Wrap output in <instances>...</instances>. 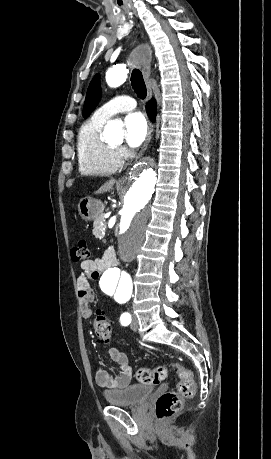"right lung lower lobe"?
<instances>
[{
  "label": "right lung lower lobe",
  "mask_w": 271,
  "mask_h": 459,
  "mask_svg": "<svg viewBox=\"0 0 271 459\" xmlns=\"http://www.w3.org/2000/svg\"><path fill=\"white\" fill-rule=\"evenodd\" d=\"M146 109H147V113H148L149 117L151 118V120H154L155 119V115H156L155 101L154 100L150 101L147 104Z\"/></svg>",
  "instance_id": "1"
}]
</instances>
